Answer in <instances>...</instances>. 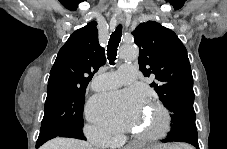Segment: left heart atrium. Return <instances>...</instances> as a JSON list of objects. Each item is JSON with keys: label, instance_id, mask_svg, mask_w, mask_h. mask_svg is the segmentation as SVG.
Masks as SVG:
<instances>
[{"label": "left heart atrium", "instance_id": "left-heart-atrium-1", "mask_svg": "<svg viewBox=\"0 0 227 149\" xmlns=\"http://www.w3.org/2000/svg\"><path fill=\"white\" fill-rule=\"evenodd\" d=\"M142 96L134 90L95 95L87 108L88 117L112 132L132 129L142 108Z\"/></svg>", "mask_w": 227, "mask_h": 149}]
</instances>
